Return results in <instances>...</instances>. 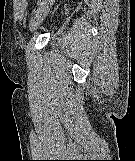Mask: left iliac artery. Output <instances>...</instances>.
Returning <instances> with one entry per match:
<instances>
[{
    "instance_id": "44dca946",
    "label": "left iliac artery",
    "mask_w": 135,
    "mask_h": 161,
    "mask_svg": "<svg viewBox=\"0 0 135 161\" xmlns=\"http://www.w3.org/2000/svg\"><path fill=\"white\" fill-rule=\"evenodd\" d=\"M42 0H38L37 5L41 4Z\"/></svg>"
}]
</instances>
